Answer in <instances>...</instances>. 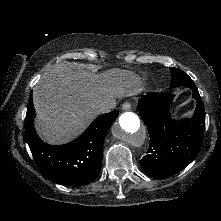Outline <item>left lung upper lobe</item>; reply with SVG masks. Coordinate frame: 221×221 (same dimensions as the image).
<instances>
[{
  "mask_svg": "<svg viewBox=\"0 0 221 221\" xmlns=\"http://www.w3.org/2000/svg\"><path fill=\"white\" fill-rule=\"evenodd\" d=\"M170 71H171L170 87L172 88L178 86L189 87L191 84H194L193 80L182 70L170 67Z\"/></svg>",
  "mask_w": 221,
  "mask_h": 221,
  "instance_id": "1",
  "label": "left lung upper lobe"
}]
</instances>
